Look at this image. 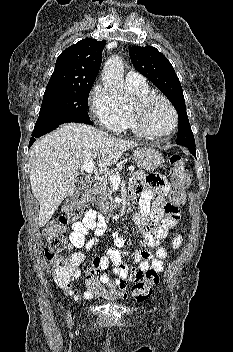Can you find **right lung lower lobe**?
<instances>
[{"mask_svg":"<svg viewBox=\"0 0 233 352\" xmlns=\"http://www.w3.org/2000/svg\"><path fill=\"white\" fill-rule=\"evenodd\" d=\"M69 122L92 124V121H90V119L70 118L67 120H62L56 123L48 124L42 127L34 128L32 132V137L29 142V147L36 141L37 138L51 132L52 130L56 129L59 125L64 123H69Z\"/></svg>","mask_w":233,"mask_h":352,"instance_id":"1","label":"right lung lower lobe"}]
</instances>
